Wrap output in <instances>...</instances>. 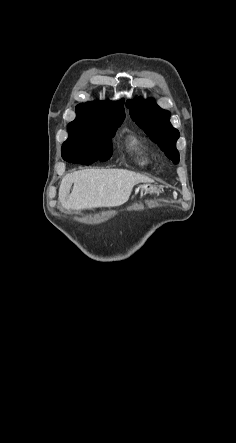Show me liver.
<instances>
[{
  "label": "liver",
  "mask_w": 236,
  "mask_h": 443,
  "mask_svg": "<svg viewBox=\"0 0 236 443\" xmlns=\"http://www.w3.org/2000/svg\"><path fill=\"white\" fill-rule=\"evenodd\" d=\"M152 182L147 176L124 169H86L63 177L58 198L67 210L118 207L129 199L136 184Z\"/></svg>",
  "instance_id": "liver-1"
}]
</instances>
